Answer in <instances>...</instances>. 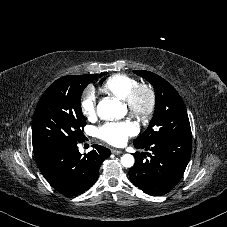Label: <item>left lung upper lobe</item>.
I'll return each mask as SVG.
<instances>
[{"label":"left lung upper lobe","instance_id":"obj_1","mask_svg":"<svg viewBox=\"0 0 227 227\" xmlns=\"http://www.w3.org/2000/svg\"><path fill=\"white\" fill-rule=\"evenodd\" d=\"M154 86L155 112L148 128L134 144L148 145L156 141L192 137L187 111L175 88L165 79L149 71H133Z\"/></svg>","mask_w":227,"mask_h":227}]
</instances>
